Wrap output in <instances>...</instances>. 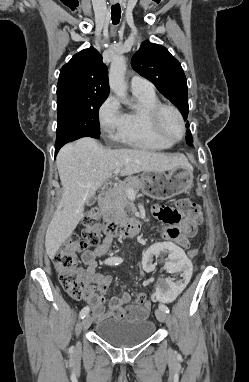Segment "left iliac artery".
Segmentation results:
<instances>
[{
  "mask_svg": "<svg viewBox=\"0 0 249 382\" xmlns=\"http://www.w3.org/2000/svg\"><path fill=\"white\" fill-rule=\"evenodd\" d=\"M159 309L165 311L166 313H169V309L167 308V306L163 305V304H160L159 305Z\"/></svg>",
  "mask_w": 249,
  "mask_h": 382,
  "instance_id": "1",
  "label": "left iliac artery"
}]
</instances>
